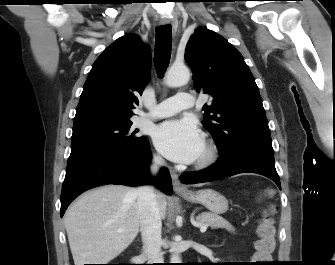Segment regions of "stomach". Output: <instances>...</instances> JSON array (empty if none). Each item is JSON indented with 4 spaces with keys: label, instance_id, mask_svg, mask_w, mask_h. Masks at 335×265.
<instances>
[{
    "label": "stomach",
    "instance_id": "obj_1",
    "mask_svg": "<svg viewBox=\"0 0 335 265\" xmlns=\"http://www.w3.org/2000/svg\"><path fill=\"white\" fill-rule=\"evenodd\" d=\"M186 201L204 205L211 213L223 214L228 210V200L219 192L203 189L180 194Z\"/></svg>",
    "mask_w": 335,
    "mask_h": 265
}]
</instances>
